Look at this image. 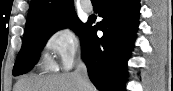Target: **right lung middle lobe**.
Wrapping results in <instances>:
<instances>
[{"instance_id": "right-lung-middle-lobe-1", "label": "right lung middle lobe", "mask_w": 173, "mask_h": 91, "mask_svg": "<svg viewBox=\"0 0 173 91\" xmlns=\"http://www.w3.org/2000/svg\"><path fill=\"white\" fill-rule=\"evenodd\" d=\"M71 28L82 36L86 23H82L76 14L61 21L34 27L24 32L22 48L17 56V61L13 68V75L18 76L32 69L36 64L40 52L46 44L48 38L57 30Z\"/></svg>"}]
</instances>
